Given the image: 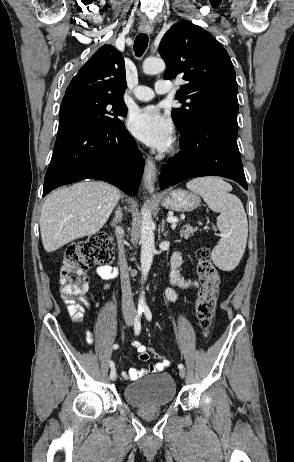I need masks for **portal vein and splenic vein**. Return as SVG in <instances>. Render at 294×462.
<instances>
[{"label":"portal vein and splenic vein","mask_w":294,"mask_h":462,"mask_svg":"<svg viewBox=\"0 0 294 462\" xmlns=\"http://www.w3.org/2000/svg\"><path fill=\"white\" fill-rule=\"evenodd\" d=\"M167 222L172 223V224H176L177 222H179V219H177L176 217H173V216H169L167 218Z\"/></svg>","instance_id":"18ae733b"}]
</instances>
